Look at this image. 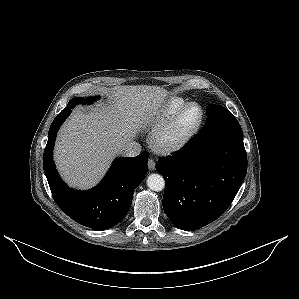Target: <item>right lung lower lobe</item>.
Segmentation results:
<instances>
[{
    "instance_id": "obj_1",
    "label": "right lung lower lobe",
    "mask_w": 299,
    "mask_h": 299,
    "mask_svg": "<svg viewBox=\"0 0 299 299\" xmlns=\"http://www.w3.org/2000/svg\"><path fill=\"white\" fill-rule=\"evenodd\" d=\"M71 113L64 108L53 120L43 155V168L52 196L70 218L93 230H105L117 225L130 209L135 188L147 173L148 153L137 157L117 158L104 179L89 191L69 188L59 177L53 161V147L60 125Z\"/></svg>"
}]
</instances>
